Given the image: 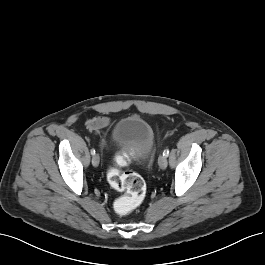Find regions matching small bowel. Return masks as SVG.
Here are the masks:
<instances>
[{"label": "small bowel", "instance_id": "obj_1", "mask_svg": "<svg viewBox=\"0 0 265 265\" xmlns=\"http://www.w3.org/2000/svg\"><path fill=\"white\" fill-rule=\"evenodd\" d=\"M110 121L107 117L98 116L93 117L87 121V127L90 131L100 132L102 129L109 125ZM107 145V139L103 138L101 141V146L105 147Z\"/></svg>", "mask_w": 265, "mask_h": 265}]
</instances>
